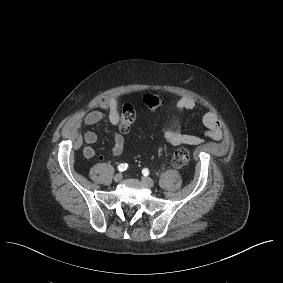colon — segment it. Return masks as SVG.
<instances>
[{"mask_svg": "<svg viewBox=\"0 0 283 283\" xmlns=\"http://www.w3.org/2000/svg\"><path fill=\"white\" fill-rule=\"evenodd\" d=\"M143 102L144 104L150 109V110H156L160 106L163 105L164 99L161 95L157 94H145L143 96ZM136 120V111L134 107L127 103L123 106L120 121H119V130L121 133H128L131 126L134 124ZM190 155L189 151L185 147H178L172 156V164L173 166L177 168H181L186 166L189 163Z\"/></svg>", "mask_w": 283, "mask_h": 283, "instance_id": "colon-1", "label": "colon"}]
</instances>
